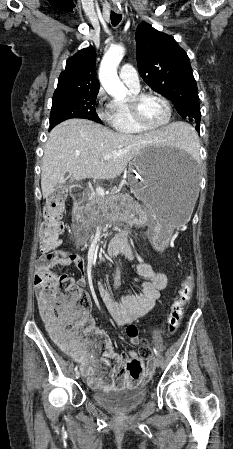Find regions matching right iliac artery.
Returning a JSON list of instances; mask_svg holds the SVG:
<instances>
[{
    "mask_svg": "<svg viewBox=\"0 0 233 449\" xmlns=\"http://www.w3.org/2000/svg\"><path fill=\"white\" fill-rule=\"evenodd\" d=\"M77 370H78V367L76 366V367H75V371H77Z\"/></svg>",
    "mask_w": 233,
    "mask_h": 449,
    "instance_id": "82829eb1",
    "label": "right iliac artery"
}]
</instances>
